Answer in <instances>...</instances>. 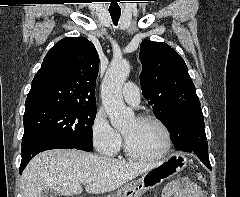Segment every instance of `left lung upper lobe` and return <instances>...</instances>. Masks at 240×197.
<instances>
[{"label": "left lung upper lobe", "mask_w": 240, "mask_h": 197, "mask_svg": "<svg viewBox=\"0 0 240 197\" xmlns=\"http://www.w3.org/2000/svg\"><path fill=\"white\" fill-rule=\"evenodd\" d=\"M139 58L142 94L171 134L184 119L202 114L187 66L173 48L163 42L143 40Z\"/></svg>", "instance_id": "5c2ea615"}]
</instances>
